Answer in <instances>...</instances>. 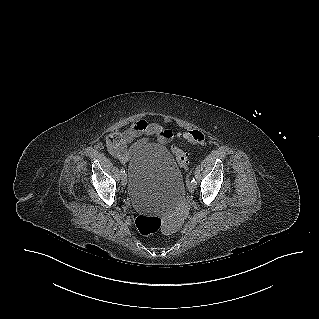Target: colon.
<instances>
[{"label": "colon", "mask_w": 319, "mask_h": 319, "mask_svg": "<svg viewBox=\"0 0 319 319\" xmlns=\"http://www.w3.org/2000/svg\"><path fill=\"white\" fill-rule=\"evenodd\" d=\"M176 136L180 140H185L195 145H202L207 140L206 133L196 128L188 129L186 127H180L176 131ZM171 152L179 166L184 170H188L187 154L177 147H172ZM135 224L139 232L143 235L156 234L162 230L164 226L160 218L150 215H139L136 218Z\"/></svg>", "instance_id": "1"}]
</instances>
